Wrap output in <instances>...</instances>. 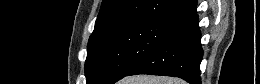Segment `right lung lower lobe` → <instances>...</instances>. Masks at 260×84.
Masks as SVG:
<instances>
[{"mask_svg":"<svg viewBox=\"0 0 260 84\" xmlns=\"http://www.w3.org/2000/svg\"><path fill=\"white\" fill-rule=\"evenodd\" d=\"M196 12L174 26L173 30L133 67L127 75L153 74L179 77L191 84H201L200 63L203 51Z\"/></svg>","mask_w":260,"mask_h":84,"instance_id":"obj_1","label":"right lung lower lobe"}]
</instances>
